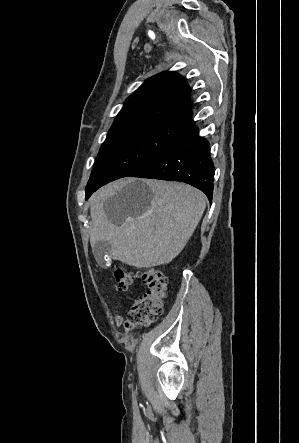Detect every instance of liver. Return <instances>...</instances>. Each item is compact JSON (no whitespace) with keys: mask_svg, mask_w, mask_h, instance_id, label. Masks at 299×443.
<instances>
[{"mask_svg":"<svg viewBox=\"0 0 299 443\" xmlns=\"http://www.w3.org/2000/svg\"><path fill=\"white\" fill-rule=\"evenodd\" d=\"M126 186L128 198L121 199ZM89 202L92 248L108 241L110 258L149 268L179 255L203 215L206 197L183 183L129 178L102 187Z\"/></svg>","mask_w":299,"mask_h":443,"instance_id":"1","label":"liver"}]
</instances>
